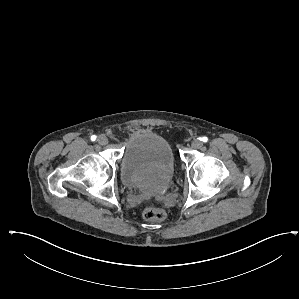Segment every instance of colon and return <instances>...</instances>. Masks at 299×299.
Instances as JSON below:
<instances>
[{"label":"colon","mask_w":299,"mask_h":299,"mask_svg":"<svg viewBox=\"0 0 299 299\" xmlns=\"http://www.w3.org/2000/svg\"><path fill=\"white\" fill-rule=\"evenodd\" d=\"M142 216L145 220L151 222H163L167 218L165 211L152 206L145 207L142 210Z\"/></svg>","instance_id":"obj_1"}]
</instances>
